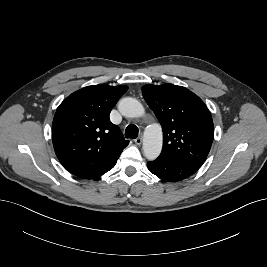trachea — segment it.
<instances>
[{
    "mask_svg": "<svg viewBox=\"0 0 267 267\" xmlns=\"http://www.w3.org/2000/svg\"><path fill=\"white\" fill-rule=\"evenodd\" d=\"M138 127L134 124H129L125 130V137L135 139L138 137Z\"/></svg>",
    "mask_w": 267,
    "mask_h": 267,
    "instance_id": "obj_1",
    "label": "trachea"
}]
</instances>
